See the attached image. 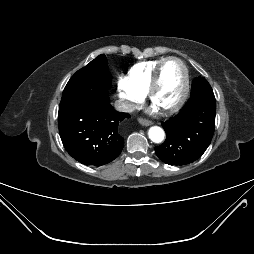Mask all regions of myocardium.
<instances>
[{"label":"myocardium","mask_w":254,"mask_h":254,"mask_svg":"<svg viewBox=\"0 0 254 254\" xmlns=\"http://www.w3.org/2000/svg\"><path fill=\"white\" fill-rule=\"evenodd\" d=\"M169 61H176L181 65V67L183 69V86H182L181 94L174 104H172L171 106H169L167 108L159 109L160 112L165 115H170V114L177 112L184 105V103L188 97L189 87H190V77H189V71H188V67H187L186 63L181 58L176 57V56L165 57L157 65V67L154 71L151 83H150L148 90L146 92L149 102L153 103L154 95L160 85L162 69H163L164 65Z\"/></svg>","instance_id":"obj_1"}]
</instances>
